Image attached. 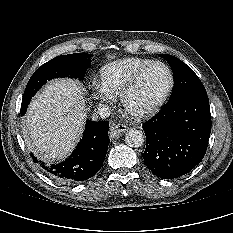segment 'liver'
<instances>
[{"label":"liver","instance_id":"6515ba94","mask_svg":"<svg viewBox=\"0 0 233 233\" xmlns=\"http://www.w3.org/2000/svg\"><path fill=\"white\" fill-rule=\"evenodd\" d=\"M83 86L70 79L54 80L29 105L26 127L31 148L44 162L61 160L72 151L86 116Z\"/></svg>","mask_w":233,"mask_h":233}]
</instances>
